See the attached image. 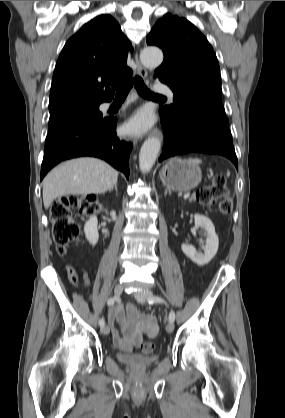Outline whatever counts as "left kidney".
<instances>
[{
	"label": "left kidney",
	"instance_id": "1",
	"mask_svg": "<svg viewBox=\"0 0 285 418\" xmlns=\"http://www.w3.org/2000/svg\"><path fill=\"white\" fill-rule=\"evenodd\" d=\"M194 220L195 226L201 227L206 235L205 245L202 246L204 253L197 252L195 247L187 243H183L181 245V249L194 263L202 266L209 263L216 255L219 246V239L215 233V227L208 217L195 214Z\"/></svg>",
	"mask_w": 285,
	"mask_h": 418
}]
</instances>
